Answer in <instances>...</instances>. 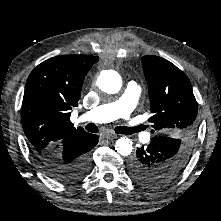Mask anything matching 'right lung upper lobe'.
<instances>
[{"instance_id":"right-lung-upper-lobe-1","label":"right lung upper lobe","mask_w":221,"mask_h":221,"mask_svg":"<svg viewBox=\"0 0 221 221\" xmlns=\"http://www.w3.org/2000/svg\"><path fill=\"white\" fill-rule=\"evenodd\" d=\"M98 57L61 55L39 64L29 75L22 103L23 130L34 154L88 133L73 127L85 75Z\"/></svg>"}]
</instances>
